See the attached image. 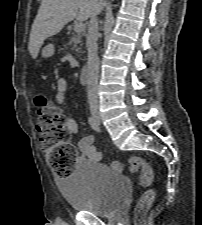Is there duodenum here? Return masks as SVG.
<instances>
[{
    "mask_svg": "<svg viewBox=\"0 0 202 225\" xmlns=\"http://www.w3.org/2000/svg\"><path fill=\"white\" fill-rule=\"evenodd\" d=\"M81 79L84 84H88L90 80V69L87 64L83 65L81 68Z\"/></svg>",
    "mask_w": 202,
    "mask_h": 225,
    "instance_id": "1",
    "label": "duodenum"
}]
</instances>
